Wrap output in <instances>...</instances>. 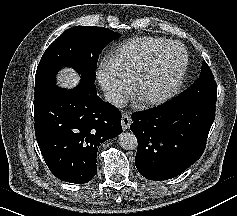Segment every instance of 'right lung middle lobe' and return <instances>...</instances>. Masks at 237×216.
I'll use <instances>...</instances> for the list:
<instances>
[{
    "instance_id": "1",
    "label": "right lung middle lobe",
    "mask_w": 237,
    "mask_h": 216,
    "mask_svg": "<svg viewBox=\"0 0 237 216\" xmlns=\"http://www.w3.org/2000/svg\"><path fill=\"white\" fill-rule=\"evenodd\" d=\"M120 36L107 28L76 26L64 31L44 52L35 75V99L56 87L55 75L63 67H72L81 80L94 83L100 52Z\"/></svg>"
}]
</instances>
